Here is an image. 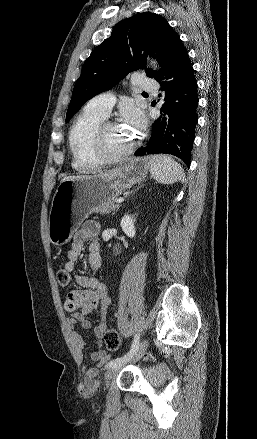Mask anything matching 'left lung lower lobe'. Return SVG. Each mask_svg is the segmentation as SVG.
Listing matches in <instances>:
<instances>
[{
	"instance_id": "left-lung-lower-lobe-1",
	"label": "left lung lower lobe",
	"mask_w": 257,
	"mask_h": 439,
	"mask_svg": "<svg viewBox=\"0 0 257 439\" xmlns=\"http://www.w3.org/2000/svg\"><path fill=\"white\" fill-rule=\"evenodd\" d=\"M155 79L161 85L165 103L161 108V117L152 125V136L147 146L139 148L134 155L172 154L189 167L199 99L194 70L180 38L174 42L165 68Z\"/></svg>"
}]
</instances>
